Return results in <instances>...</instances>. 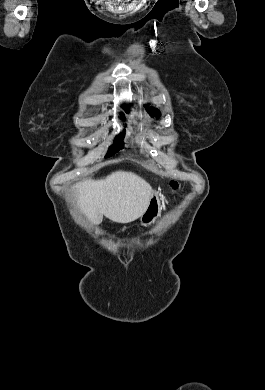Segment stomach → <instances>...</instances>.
I'll return each mask as SVG.
<instances>
[{"instance_id":"stomach-1","label":"stomach","mask_w":265,"mask_h":390,"mask_svg":"<svg viewBox=\"0 0 265 390\" xmlns=\"http://www.w3.org/2000/svg\"><path fill=\"white\" fill-rule=\"evenodd\" d=\"M161 212L160 196L158 192L153 191L149 200L146 211L141 216V224L148 226L154 223Z\"/></svg>"}]
</instances>
